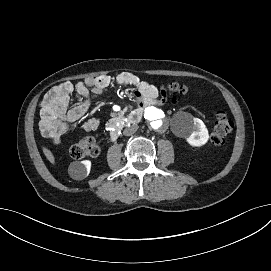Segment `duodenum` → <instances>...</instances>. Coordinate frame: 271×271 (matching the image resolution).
Masks as SVG:
<instances>
[{
	"label": "duodenum",
	"instance_id": "obj_1",
	"mask_svg": "<svg viewBox=\"0 0 271 271\" xmlns=\"http://www.w3.org/2000/svg\"><path fill=\"white\" fill-rule=\"evenodd\" d=\"M143 112L141 109H136L132 111L126 118L127 122L130 124L138 123L142 118ZM119 136L118 129H112L110 131V138L111 140H116Z\"/></svg>",
	"mask_w": 271,
	"mask_h": 271
}]
</instances>
